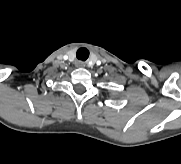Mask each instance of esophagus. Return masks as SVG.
Wrapping results in <instances>:
<instances>
[{
	"label": "esophagus",
	"instance_id": "esophagus-1",
	"mask_svg": "<svg viewBox=\"0 0 181 164\" xmlns=\"http://www.w3.org/2000/svg\"><path fill=\"white\" fill-rule=\"evenodd\" d=\"M77 66H78V67H84L85 64H84V62H82V61H78V62H77Z\"/></svg>",
	"mask_w": 181,
	"mask_h": 164
}]
</instances>
